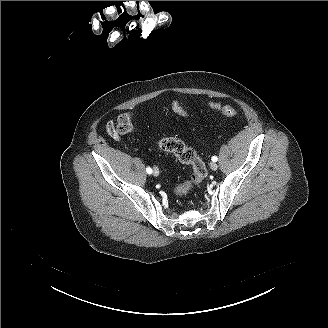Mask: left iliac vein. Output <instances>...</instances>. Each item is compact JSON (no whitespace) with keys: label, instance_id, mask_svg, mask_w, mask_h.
<instances>
[{"label":"left iliac vein","instance_id":"left-iliac-vein-1","mask_svg":"<svg viewBox=\"0 0 328 328\" xmlns=\"http://www.w3.org/2000/svg\"><path fill=\"white\" fill-rule=\"evenodd\" d=\"M210 167H211L212 170L215 171V170H217L218 165L215 162H211Z\"/></svg>","mask_w":328,"mask_h":328}]
</instances>
